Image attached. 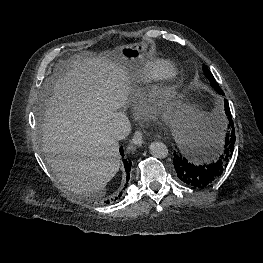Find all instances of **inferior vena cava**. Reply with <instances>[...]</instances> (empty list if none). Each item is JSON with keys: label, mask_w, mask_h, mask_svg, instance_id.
<instances>
[{"label": "inferior vena cava", "mask_w": 263, "mask_h": 263, "mask_svg": "<svg viewBox=\"0 0 263 263\" xmlns=\"http://www.w3.org/2000/svg\"><path fill=\"white\" fill-rule=\"evenodd\" d=\"M109 135L115 140H122L126 138L131 131V124L129 119L123 116L113 118L107 126Z\"/></svg>", "instance_id": "inferior-vena-cava-1"}]
</instances>
